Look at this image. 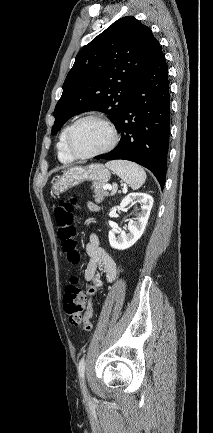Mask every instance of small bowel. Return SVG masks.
<instances>
[{
	"instance_id": "1",
	"label": "small bowel",
	"mask_w": 213,
	"mask_h": 433,
	"mask_svg": "<svg viewBox=\"0 0 213 433\" xmlns=\"http://www.w3.org/2000/svg\"><path fill=\"white\" fill-rule=\"evenodd\" d=\"M89 208L96 210L93 204H89ZM85 253L88 263L84 271V278L87 281L86 292L90 297L86 307V317L90 320L93 314L91 298L105 284L112 283L116 279L117 266L113 258L99 245L95 234H90Z\"/></svg>"
}]
</instances>
